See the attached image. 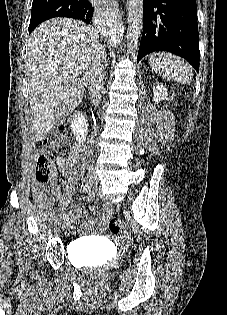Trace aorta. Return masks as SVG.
I'll list each match as a JSON object with an SVG mask.
<instances>
[{"instance_id":"1","label":"aorta","mask_w":227,"mask_h":315,"mask_svg":"<svg viewBox=\"0 0 227 315\" xmlns=\"http://www.w3.org/2000/svg\"><path fill=\"white\" fill-rule=\"evenodd\" d=\"M127 11L128 28L126 38L129 51H131L137 45L142 32L143 0H127ZM103 30L112 43H118L121 40V34L114 22H107Z\"/></svg>"}]
</instances>
